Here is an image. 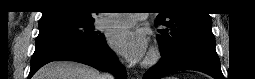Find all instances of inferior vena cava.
I'll return each mask as SVG.
<instances>
[{"instance_id":"1","label":"inferior vena cava","mask_w":255,"mask_h":79,"mask_svg":"<svg viewBox=\"0 0 255 79\" xmlns=\"http://www.w3.org/2000/svg\"><path fill=\"white\" fill-rule=\"evenodd\" d=\"M113 75L109 73L102 74L101 79H113Z\"/></svg>"}]
</instances>
